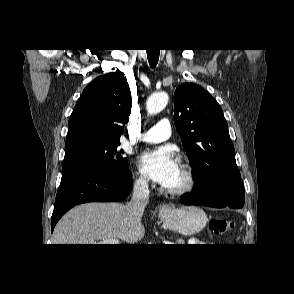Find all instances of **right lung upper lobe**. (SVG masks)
<instances>
[{"label": "right lung upper lobe", "mask_w": 294, "mask_h": 294, "mask_svg": "<svg viewBox=\"0 0 294 294\" xmlns=\"http://www.w3.org/2000/svg\"><path fill=\"white\" fill-rule=\"evenodd\" d=\"M130 112L126 78L116 72L97 77L84 89L71 114L66 144L84 139L120 142Z\"/></svg>", "instance_id": "obj_1"}]
</instances>
